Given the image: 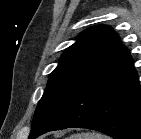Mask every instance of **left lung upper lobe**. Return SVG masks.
Segmentation results:
<instances>
[{
	"label": "left lung upper lobe",
	"instance_id": "left-lung-upper-lobe-1",
	"mask_svg": "<svg viewBox=\"0 0 141 139\" xmlns=\"http://www.w3.org/2000/svg\"><path fill=\"white\" fill-rule=\"evenodd\" d=\"M76 39L50 75L35 110L30 137L43 129L82 82L125 48L118 34L105 25L88 28Z\"/></svg>",
	"mask_w": 141,
	"mask_h": 139
}]
</instances>
